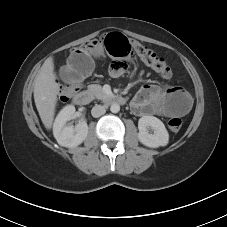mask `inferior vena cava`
I'll use <instances>...</instances> for the list:
<instances>
[{"mask_svg": "<svg viewBox=\"0 0 227 227\" xmlns=\"http://www.w3.org/2000/svg\"><path fill=\"white\" fill-rule=\"evenodd\" d=\"M106 112V109L104 106L101 105H95L92 110H91V114L93 117L97 118L100 117L102 115H104Z\"/></svg>", "mask_w": 227, "mask_h": 227, "instance_id": "obj_1", "label": "inferior vena cava"}]
</instances>
